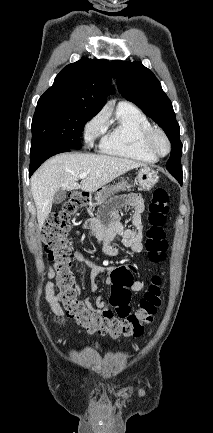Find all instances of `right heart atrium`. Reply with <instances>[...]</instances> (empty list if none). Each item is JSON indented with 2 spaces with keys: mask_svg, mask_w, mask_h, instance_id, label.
<instances>
[{
  "mask_svg": "<svg viewBox=\"0 0 213 433\" xmlns=\"http://www.w3.org/2000/svg\"><path fill=\"white\" fill-rule=\"evenodd\" d=\"M105 116L98 113L90 118L84 126V138L87 144L92 145L98 136L103 132Z\"/></svg>",
  "mask_w": 213,
  "mask_h": 433,
  "instance_id": "1",
  "label": "right heart atrium"
}]
</instances>
